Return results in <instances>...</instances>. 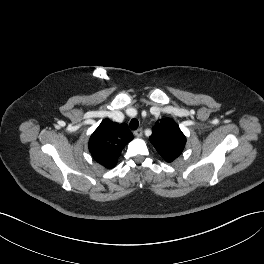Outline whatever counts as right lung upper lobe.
<instances>
[{"label":"right lung upper lobe","mask_w":264,"mask_h":264,"mask_svg":"<svg viewBox=\"0 0 264 264\" xmlns=\"http://www.w3.org/2000/svg\"><path fill=\"white\" fill-rule=\"evenodd\" d=\"M132 139V133L125 124L118 125L105 119L91 135L89 151L95 161L110 169L116 165L121 151Z\"/></svg>","instance_id":"right-lung-upper-lobe-1"}]
</instances>
